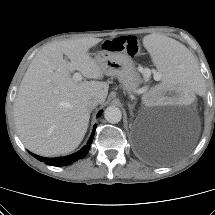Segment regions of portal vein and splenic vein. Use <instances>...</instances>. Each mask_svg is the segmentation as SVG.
I'll list each match as a JSON object with an SVG mask.
<instances>
[{
  "label": "portal vein and splenic vein",
  "instance_id": "obj_1",
  "mask_svg": "<svg viewBox=\"0 0 215 215\" xmlns=\"http://www.w3.org/2000/svg\"><path fill=\"white\" fill-rule=\"evenodd\" d=\"M157 78L160 79V76L157 77ZM73 79L76 80V81H81V80H82V75H81V73H79V72L74 73Z\"/></svg>",
  "mask_w": 215,
  "mask_h": 215
}]
</instances>
